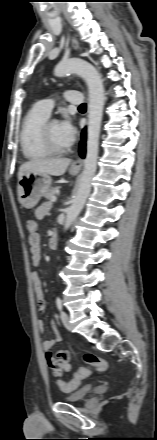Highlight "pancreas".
Segmentation results:
<instances>
[{
  "instance_id": "pancreas-1",
  "label": "pancreas",
  "mask_w": 157,
  "mask_h": 440,
  "mask_svg": "<svg viewBox=\"0 0 157 440\" xmlns=\"http://www.w3.org/2000/svg\"><path fill=\"white\" fill-rule=\"evenodd\" d=\"M58 191H59V187H55V188L49 190V191L44 195V197H45L46 199H48V200H51V198L54 197L55 194H56Z\"/></svg>"
}]
</instances>
